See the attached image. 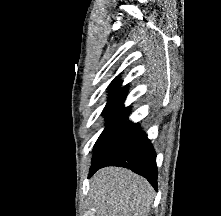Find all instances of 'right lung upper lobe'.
<instances>
[{"mask_svg":"<svg viewBox=\"0 0 221 216\" xmlns=\"http://www.w3.org/2000/svg\"><path fill=\"white\" fill-rule=\"evenodd\" d=\"M121 83L122 82L119 81L118 78H115L110 93L111 96L103 110L104 114L108 112L109 118L121 115H128L129 107H123V102L125 100L127 90L121 88Z\"/></svg>","mask_w":221,"mask_h":216,"instance_id":"obj_1","label":"right lung upper lobe"}]
</instances>
